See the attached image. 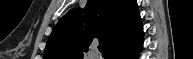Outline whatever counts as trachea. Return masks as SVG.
Here are the masks:
<instances>
[{"label": "trachea", "mask_w": 193, "mask_h": 59, "mask_svg": "<svg viewBox=\"0 0 193 59\" xmlns=\"http://www.w3.org/2000/svg\"><path fill=\"white\" fill-rule=\"evenodd\" d=\"M103 49H104L103 45H99V46H98V50H99V52H102V51H103Z\"/></svg>", "instance_id": "1"}]
</instances>
